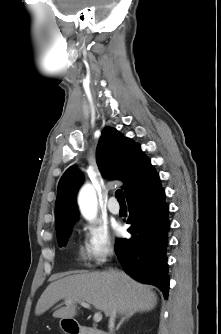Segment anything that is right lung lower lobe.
<instances>
[{"label": "right lung lower lobe", "mask_w": 221, "mask_h": 334, "mask_svg": "<svg viewBox=\"0 0 221 334\" xmlns=\"http://www.w3.org/2000/svg\"><path fill=\"white\" fill-rule=\"evenodd\" d=\"M156 174L128 198L130 239L116 241V253L126 273L136 280L157 286L168 296L169 276L166 257L169 206Z\"/></svg>", "instance_id": "right-lung-lower-lobe-1"}]
</instances>
